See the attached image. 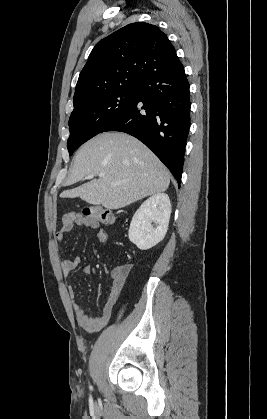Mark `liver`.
I'll list each match as a JSON object with an SVG mask.
<instances>
[{"instance_id": "1", "label": "liver", "mask_w": 267, "mask_h": 419, "mask_svg": "<svg viewBox=\"0 0 267 419\" xmlns=\"http://www.w3.org/2000/svg\"><path fill=\"white\" fill-rule=\"evenodd\" d=\"M101 173L103 177L66 190L60 197H79L114 210L164 192L170 183V174L162 162L138 139L120 132L102 133L86 142L74 157L66 185Z\"/></svg>"}]
</instances>
